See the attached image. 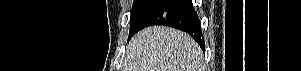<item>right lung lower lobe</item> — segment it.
Here are the masks:
<instances>
[{
	"label": "right lung lower lobe",
	"mask_w": 301,
	"mask_h": 71,
	"mask_svg": "<svg viewBox=\"0 0 301 71\" xmlns=\"http://www.w3.org/2000/svg\"><path fill=\"white\" fill-rule=\"evenodd\" d=\"M152 25H165L185 31L193 37L202 50L205 49L201 23L191 0H159L146 13L129 39L139 30Z\"/></svg>",
	"instance_id": "obj_1"
}]
</instances>
